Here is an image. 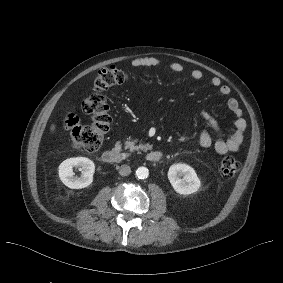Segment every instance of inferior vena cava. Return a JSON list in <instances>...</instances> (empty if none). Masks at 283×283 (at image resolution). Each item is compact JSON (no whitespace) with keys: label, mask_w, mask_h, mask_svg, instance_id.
Here are the masks:
<instances>
[{"label":"inferior vena cava","mask_w":283,"mask_h":283,"mask_svg":"<svg viewBox=\"0 0 283 283\" xmlns=\"http://www.w3.org/2000/svg\"><path fill=\"white\" fill-rule=\"evenodd\" d=\"M131 172L130 167L128 165H121L118 169V173L121 176H127L129 175Z\"/></svg>","instance_id":"1"}]
</instances>
